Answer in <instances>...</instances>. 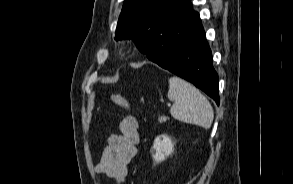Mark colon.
Here are the masks:
<instances>
[{"instance_id": "obj_1", "label": "colon", "mask_w": 293, "mask_h": 184, "mask_svg": "<svg viewBox=\"0 0 293 184\" xmlns=\"http://www.w3.org/2000/svg\"><path fill=\"white\" fill-rule=\"evenodd\" d=\"M110 99L113 103L118 105L119 107L129 109L130 108V103L129 101L123 97L121 94L117 92H110Z\"/></svg>"}]
</instances>
